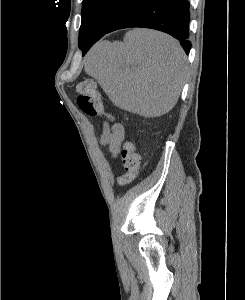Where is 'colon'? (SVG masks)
Wrapping results in <instances>:
<instances>
[{
  "instance_id": "5ec220e1",
  "label": "colon",
  "mask_w": 245,
  "mask_h": 300,
  "mask_svg": "<svg viewBox=\"0 0 245 300\" xmlns=\"http://www.w3.org/2000/svg\"><path fill=\"white\" fill-rule=\"evenodd\" d=\"M77 104L88 115L99 116L104 114L101 95L94 80L85 79L78 84ZM121 155L124 173L118 178V184L126 185L137 177L140 167V156L136 151L135 143L131 140L124 143Z\"/></svg>"
}]
</instances>
